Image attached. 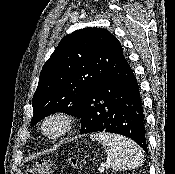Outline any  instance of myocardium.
Listing matches in <instances>:
<instances>
[{
	"instance_id": "myocardium-1",
	"label": "myocardium",
	"mask_w": 175,
	"mask_h": 174,
	"mask_svg": "<svg viewBox=\"0 0 175 174\" xmlns=\"http://www.w3.org/2000/svg\"><path fill=\"white\" fill-rule=\"evenodd\" d=\"M54 121L58 122L60 127L56 132L51 133L47 128L48 125ZM73 126L74 118L72 115L65 111H54L44 117L41 123V132L45 137L56 140L67 135L72 130Z\"/></svg>"
}]
</instances>
